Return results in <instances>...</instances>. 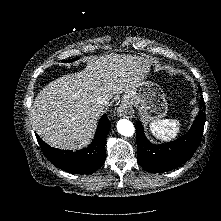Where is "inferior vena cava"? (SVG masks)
I'll list each match as a JSON object with an SVG mask.
<instances>
[{
    "mask_svg": "<svg viewBox=\"0 0 221 221\" xmlns=\"http://www.w3.org/2000/svg\"><path fill=\"white\" fill-rule=\"evenodd\" d=\"M97 103L102 106L105 107L108 104V101L105 98L102 97H98L97 98Z\"/></svg>",
    "mask_w": 221,
    "mask_h": 221,
    "instance_id": "602c4592",
    "label": "inferior vena cava"
}]
</instances>
